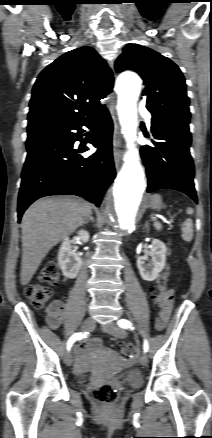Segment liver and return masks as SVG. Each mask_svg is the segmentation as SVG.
Returning <instances> with one entry per match:
<instances>
[{"label": "liver", "mask_w": 212, "mask_h": 438, "mask_svg": "<svg viewBox=\"0 0 212 438\" xmlns=\"http://www.w3.org/2000/svg\"><path fill=\"white\" fill-rule=\"evenodd\" d=\"M91 204L77 197H47L22 218L21 284L27 285L48 252L85 223Z\"/></svg>", "instance_id": "6515ba94"}]
</instances>
